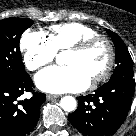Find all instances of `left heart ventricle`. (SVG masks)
<instances>
[{
    "label": "left heart ventricle",
    "mask_w": 136,
    "mask_h": 136,
    "mask_svg": "<svg viewBox=\"0 0 136 136\" xmlns=\"http://www.w3.org/2000/svg\"><path fill=\"white\" fill-rule=\"evenodd\" d=\"M108 61V49L104 42H97L83 53L68 52L65 63L75 65L91 81L105 67Z\"/></svg>",
    "instance_id": "b2bd125f"
}]
</instances>
